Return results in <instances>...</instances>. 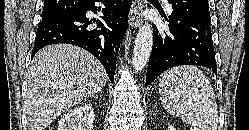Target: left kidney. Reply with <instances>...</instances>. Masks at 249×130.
Returning <instances> with one entry per match:
<instances>
[{
    "label": "left kidney",
    "mask_w": 249,
    "mask_h": 130,
    "mask_svg": "<svg viewBox=\"0 0 249 130\" xmlns=\"http://www.w3.org/2000/svg\"><path fill=\"white\" fill-rule=\"evenodd\" d=\"M168 130H176V128H174V126L169 125Z\"/></svg>",
    "instance_id": "5707ae66"
}]
</instances>
